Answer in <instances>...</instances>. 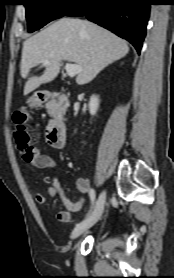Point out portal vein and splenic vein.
I'll use <instances>...</instances> for the list:
<instances>
[{
    "label": "portal vein and splenic vein",
    "mask_w": 174,
    "mask_h": 278,
    "mask_svg": "<svg viewBox=\"0 0 174 278\" xmlns=\"http://www.w3.org/2000/svg\"><path fill=\"white\" fill-rule=\"evenodd\" d=\"M44 63H48V59L44 60ZM65 69L70 77H74L82 71V67L77 64L66 63Z\"/></svg>",
    "instance_id": "18ae733b"
}]
</instances>
